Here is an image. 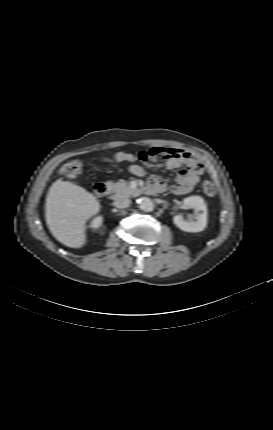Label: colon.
<instances>
[{"instance_id":"obj_1","label":"colon","mask_w":273,"mask_h":430,"mask_svg":"<svg viewBox=\"0 0 273 430\" xmlns=\"http://www.w3.org/2000/svg\"><path fill=\"white\" fill-rule=\"evenodd\" d=\"M82 168V163L79 160H73L70 161L68 163H66L62 169H61V174L66 177V178H74L76 177ZM203 191L206 195L208 196H213L216 193V186L213 182L211 181H205L203 183Z\"/></svg>"}]
</instances>
